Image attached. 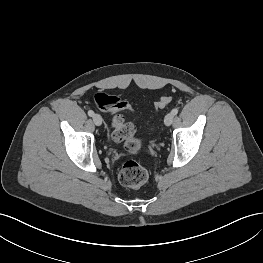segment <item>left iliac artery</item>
Here are the masks:
<instances>
[{
    "mask_svg": "<svg viewBox=\"0 0 263 263\" xmlns=\"http://www.w3.org/2000/svg\"><path fill=\"white\" fill-rule=\"evenodd\" d=\"M171 113H172L173 115H176V114L178 113V109H177V108H174V109L171 111Z\"/></svg>",
    "mask_w": 263,
    "mask_h": 263,
    "instance_id": "1",
    "label": "left iliac artery"
}]
</instances>
